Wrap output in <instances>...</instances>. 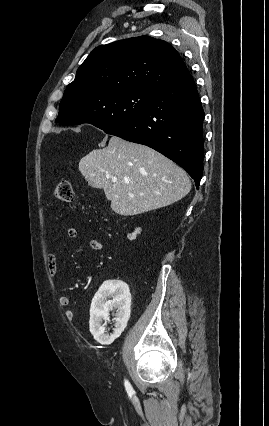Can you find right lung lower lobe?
Listing matches in <instances>:
<instances>
[{"label": "right lung lower lobe", "mask_w": 269, "mask_h": 426, "mask_svg": "<svg viewBox=\"0 0 269 426\" xmlns=\"http://www.w3.org/2000/svg\"><path fill=\"white\" fill-rule=\"evenodd\" d=\"M203 120L204 111L189 74L158 88L139 116L105 132L162 153L180 165L198 189L203 174Z\"/></svg>", "instance_id": "98d812e1"}]
</instances>
